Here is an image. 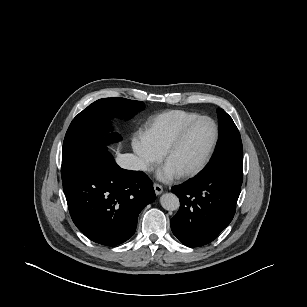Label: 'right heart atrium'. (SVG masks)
I'll return each instance as SVG.
<instances>
[{"label": "right heart atrium", "instance_id": "right-heart-atrium-1", "mask_svg": "<svg viewBox=\"0 0 307 307\" xmlns=\"http://www.w3.org/2000/svg\"><path fill=\"white\" fill-rule=\"evenodd\" d=\"M132 148L137 156L138 167L143 172L152 170L162 160V154L158 153L142 134L133 138Z\"/></svg>", "mask_w": 307, "mask_h": 307}]
</instances>
